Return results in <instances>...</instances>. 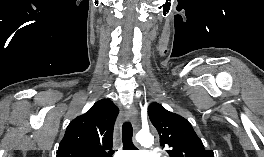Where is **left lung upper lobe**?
<instances>
[{
    "mask_svg": "<svg viewBox=\"0 0 264 157\" xmlns=\"http://www.w3.org/2000/svg\"><path fill=\"white\" fill-rule=\"evenodd\" d=\"M149 118L160 136V145L169 148L170 157H214L205 150L192 125L183 117L169 112L159 103L148 107Z\"/></svg>",
    "mask_w": 264,
    "mask_h": 157,
    "instance_id": "5c2ea615",
    "label": "left lung upper lobe"
}]
</instances>
